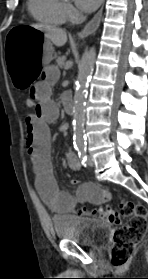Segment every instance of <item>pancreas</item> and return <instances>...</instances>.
Wrapping results in <instances>:
<instances>
[{"label": "pancreas", "instance_id": "cf45deb5", "mask_svg": "<svg viewBox=\"0 0 148 279\" xmlns=\"http://www.w3.org/2000/svg\"><path fill=\"white\" fill-rule=\"evenodd\" d=\"M66 57L65 56H62V57H58L57 59V65L61 68L64 66V61H65Z\"/></svg>", "mask_w": 148, "mask_h": 279}]
</instances>
